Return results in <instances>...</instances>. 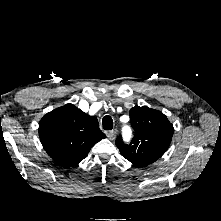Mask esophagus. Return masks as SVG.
I'll return each instance as SVG.
<instances>
[{
    "label": "esophagus",
    "mask_w": 221,
    "mask_h": 221,
    "mask_svg": "<svg viewBox=\"0 0 221 221\" xmlns=\"http://www.w3.org/2000/svg\"><path fill=\"white\" fill-rule=\"evenodd\" d=\"M116 134H117V132L115 130H111L106 133L108 139H110V140H114L116 137Z\"/></svg>",
    "instance_id": "esophagus-1"
}]
</instances>
